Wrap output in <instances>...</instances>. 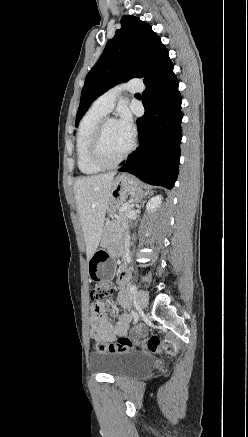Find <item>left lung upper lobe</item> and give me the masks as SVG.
Listing matches in <instances>:
<instances>
[{
  "label": "left lung upper lobe",
  "mask_w": 248,
  "mask_h": 437,
  "mask_svg": "<svg viewBox=\"0 0 248 437\" xmlns=\"http://www.w3.org/2000/svg\"><path fill=\"white\" fill-rule=\"evenodd\" d=\"M170 62L166 47L149 24L134 16L122 18L121 29L86 76L75 125L91 103L113 86L131 78L143 77L146 83Z\"/></svg>",
  "instance_id": "left-lung-upper-lobe-1"
}]
</instances>
